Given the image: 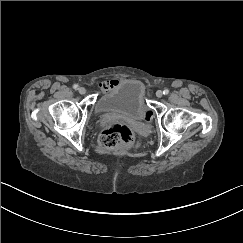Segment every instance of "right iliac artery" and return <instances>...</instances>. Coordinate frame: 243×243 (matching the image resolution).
<instances>
[{"label":"right iliac artery","instance_id":"1","mask_svg":"<svg viewBox=\"0 0 243 243\" xmlns=\"http://www.w3.org/2000/svg\"><path fill=\"white\" fill-rule=\"evenodd\" d=\"M73 88H74L75 90H78V89H79V86H78L77 84H75V85L73 86Z\"/></svg>","mask_w":243,"mask_h":243}]
</instances>
